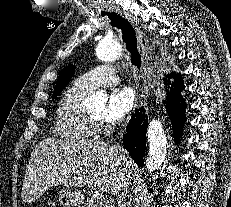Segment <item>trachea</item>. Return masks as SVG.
I'll return each mask as SVG.
<instances>
[{"mask_svg":"<svg viewBox=\"0 0 231 207\" xmlns=\"http://www.w3.org/2000/svg\"><path fill=\"white\" fill-rule=\"evenodd\" d=\"M107 16L111 20V25L121 30L122 40L131 55L132 65L140 69L142 60L138 51L137 37L133 26L125 18L116 13L107 14Z\"/></svg>","mask_w":231,"mask_h":207,"instance_id":"3493384b","label":"trachea"}]
</instances>
